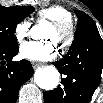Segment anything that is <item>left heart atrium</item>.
I'll use <instances>...</instances> for the list:
<instances>
[{"label":"left heart atrium","mask_w":103,"mask_h":103,"mask_svg":"<svg viewBox=\"0 0 103 103\" xmlns=\"http://www.w3.org/2000/svg\"><path fill=\"white\" fill-rule=\"evenodd\" d=\"M57 48L53 40L30 41L20 47V55L31 61H45L56 56Z\"/></svg>","instance_id":"left-heart-atrium-1"}]
</instances>
